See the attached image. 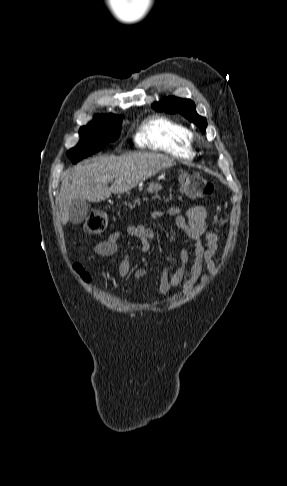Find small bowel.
Returning a JSON list of instances; mask_svg holds the SVG:
<instances>
[{"mask_svg": "<svg viewBox=\"0 0 287 486\" xmlns=\"http://www.w3.org/2000/svg\"><path fill=\"white\" fill-rule=\"evenodd\" d=\"M151 218L161 220L171 219L176 227L181 231L183 241L193 242V261L189 267L188 276L187 265L190 262L191 254L186 244L179 252L180 265L171 272L166 266L161 274L158 291L161 295H166L174 288H180L183 294L188 293L197 283H205L217 268V250L219 237L217 234L208 231V213L201 206L189 208L185 213L178 207H170L163 210H155L151 213ZM127 234L139 239L143 252L150 251L151 241L155 239V232L151 227L145 225H129L126 229ZM122 233L117 231L111 233L106 240L94 246V253L97 258L102 259L111 257L119 252H123L119 263V276L122 280L128 277L131 270L130 255L121 243ZM204 267L206 272H204ZM148 274L146 269H138L133 277L138 280Z\"/></svg>", "mask_w": 287, "mask_h": 486, "instance_id": "1", "label": "small bowel"}]
</instances>
